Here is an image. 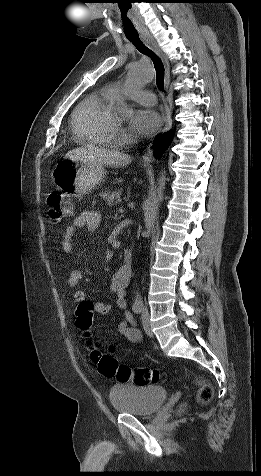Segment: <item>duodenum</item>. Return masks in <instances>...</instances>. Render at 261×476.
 I'll return each mask as SVG.
<instances>
[{"mask_svg": "<svg viewBox=\"0 0 261 476\" xmlns=\"http://www.w3.org/2000/svg\"><path fill=\"white\" fill-rule=\"evenodd\" d=\"M132 263H133V253L130 249H125L124 250V256H123V266L122 268L124 271L130 275L132 271Z\"/></svg>", "mask_w": 261, "mask_h": 476, "instance_id": "1", "label": "duodenum"}]
</instances>
